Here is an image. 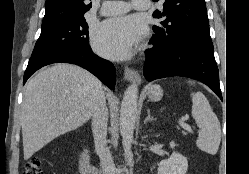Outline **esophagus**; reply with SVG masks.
I'll list each match as a JSON object with an SVG mask.
<instances>
[{"mask_svg":"<svg viewBox=\"0 0 249 174\" xmlns=\"http://www.w3.org/2000/svg\"><path fill=\"white\" fill-rule=\"evenodd\" d=\"M124 78L128 81L137 82V83L141 81L139 73L128 66H126L124 69Z\"/></svg>","mask_w":249,"mask_h":174,"instance_id":"34e87169","label":"esophagus"}]
</instances>
